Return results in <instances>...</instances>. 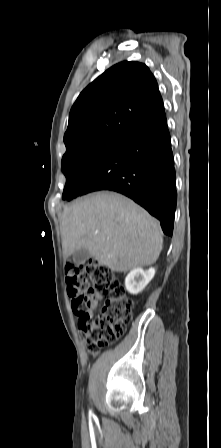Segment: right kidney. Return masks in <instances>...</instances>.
Instances as JSON below:
<instances>
[{"instance_id":"right-kidney-1","label":"right kidney","mask_w":221,"mask_h":448,"mask_svg":"<svg viewBox=\"0 0 221 448\" xmlns=\"http://www.w3.org/2000/svg\"><path fill=\"white\" fill-rule=\"evenodd\" d=\"M154 275V268H149L148 270H143L141 268L133 269L125 278L126 290L134 295L140 293L152 280Z\"/></svg>"}]
</instances>
